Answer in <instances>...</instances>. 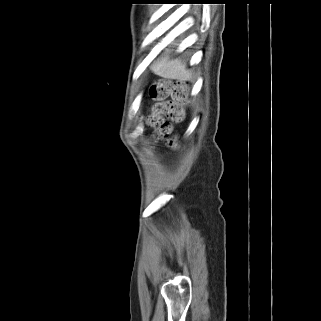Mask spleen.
<instances>
[{
  "label": "spleen",
  "instance_id": "spleen-1",
  "mask_svg": "<svg viewBox=\"0 0 321 321\" xmlns=\"http://www.w3.org/2000/svg\"><path fill=\"white\" fill-rule=\"evenodd\" d=\"M151 70L154 74L166 79L187 81L192 77L191 72L179 59H159L151 65Z\"/></svg>",
  "mask_w": 321,
  "mask_h": 321
}]
</instances>
